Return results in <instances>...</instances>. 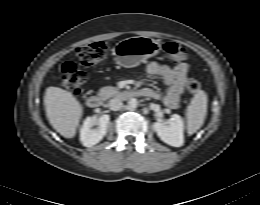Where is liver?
Masks as SVG:
<instances>
[{"label":"liver","mask_w":260,"mask_h":205,"mask_svg":"<svg viewBox=\"0 0 260 205\" xmlns=\"http://www.w3.org/2000/svg\"><path fill=\"white\" fill-rule=\"evenodd\" d=\"M47 119L51 126L65 138H73L82 117L83 108L68 91L48 87L44 96Z\"/></svg>","instance_id":"liver-1"}]
</instances>
